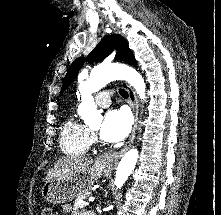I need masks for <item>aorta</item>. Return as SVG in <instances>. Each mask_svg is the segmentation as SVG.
Here are the masks:
<instances>
[{"mask_svg": "<svg viewBox=\"0 0 221 215\" xmlns=\"http://www.w3.org/2000/svg\"><path fill=\"white\" fill-rule=\"evenodd\" d=\"M122 79L127 81L137 92L141 99H145V83L142 76L133 68L124 64H101L95 67L89 78L80 81L79 91L81 103L78 106V115L84 123L91 125L101 115L97 110L92 94L99 91L108 83ZM139 152L136 148L130 149L118 164L114 184L121 188L135 168Z\"/></svg>", "mask_w": 221, "mask_h": 215, "instance_id": "aorta-1", "label": "aorta"}]
</instances>
